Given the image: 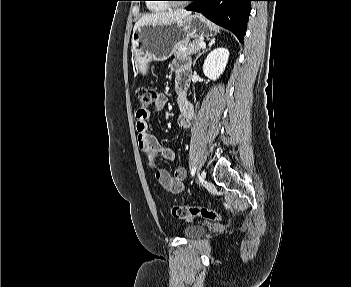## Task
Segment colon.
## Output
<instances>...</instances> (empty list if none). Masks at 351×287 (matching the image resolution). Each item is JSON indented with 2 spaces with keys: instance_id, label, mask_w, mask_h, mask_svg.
<instances>
[{
  "instance_id": "5ec220e1",
  "label": "colon",
  "mask_w": 351,
  "mask_h": 287,
  "mask_svg": "<svg viewBox=\"0 0 351 287\" xmlns=\"http://www.w3.org/2000/svg\"><path fill=\"white\" fill-rule=\"evenodd\" d=\"M156 97L155 91L146 87H139L136 89V98L141 109L148 108ZM172 215L181 220L191 221L197 217L206 220H220L221 213L200 206H174L172 208Z\"/></svg>"
}]
</instances>
